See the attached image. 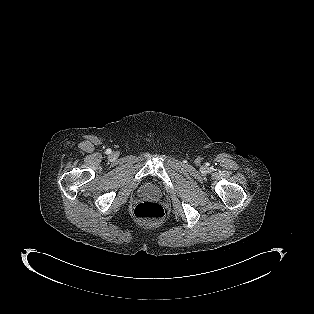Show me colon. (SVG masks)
<instances>
[{"label": "colon", "instance_id": "5ec220e1", "mask_svg": "<svg viewBox=\"0 0 314 314\" xmlns=\"http://www.w3.org/2000/svg\"><path fill=\"white\" fill-rule=\"evenodd\" d=\"M134 215L142 221L159 222L164 218L165 210L154 200H144L135 206Z\"/></svg>", "mask_w": 314, "mask_h": 314}]
</instances>
